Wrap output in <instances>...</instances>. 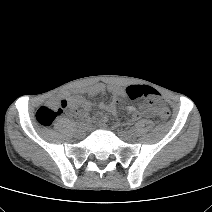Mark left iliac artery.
Here are the masks:
<instances>
[{"label":"left iliac artery","instance_id":"obj_1","mask_svg":"<svg viewBox=\"0 0 212 212\" xmlns=\"http://www.w3.org/2000/svg\"><path fill=\"white\" fill-rule=\"evenodd\" d=\"M131 132H135V129L134 128H131Z\"/></svg>","mask_w":212,"mask_h":212}]
</instances>
